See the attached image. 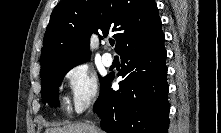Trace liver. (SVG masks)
Listing matches in <instances>:
<instances>
[{
    "label": "liver",
    "mask_w": 221,
    "mask_h": 133,
    "mask_svg": "<svg viewBox=\"0 0 221 133\" xmlns=\"http://www.w3.org/2000/svg\"><path fill=\"white\" fill-rule=\"evenodd\" d=\"M45 133H101V131L86 123H76L63 127L48 128Z\"/></svg>",
    "instance_id": "liver-1"
}]
</instances>
